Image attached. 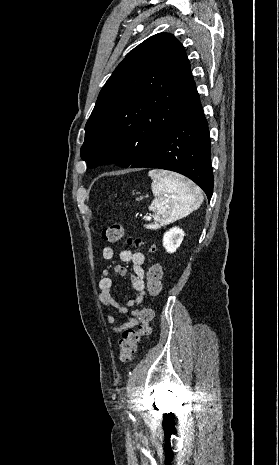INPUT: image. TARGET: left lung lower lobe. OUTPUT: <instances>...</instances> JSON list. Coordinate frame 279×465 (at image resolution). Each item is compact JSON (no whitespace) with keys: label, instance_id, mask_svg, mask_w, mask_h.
<instances>
[{"label":"left lung lower lobe","instance_id":"obj_1","mask_svg":"<svg viewBox=\"0 0 279 465\" xmlns=\"http://www.w3.org/2000/svg\"><path fill=\"white\" fill-rule=\"evenodd\" d=\"M208 123L194 85L184 110L163 136L131 168L152 167L178 172L193 180L210 200L213 193Z\"/></svg>","mask_w":279,"mask_h":465}]
</instances>
